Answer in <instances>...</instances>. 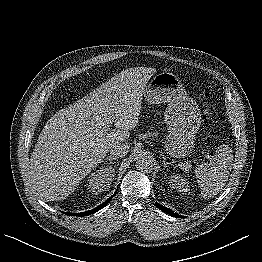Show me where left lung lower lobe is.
<instances>
[{"label":"left lung lower lobe","instance_id":"left-lung-lower-lobe-1","mask_svg":"<svg viewBox=\"0 0 262 262\" xmlns=\"http://www.w3.org/2000/svg\"><path fill=\"white\" fill-rule=\"evenodd\" d=\"M156 206H157L159 209H161L162 211L168 213L169 215H171V216H173V217L183 218V216L175 213L174 211H172V210H170V209H168V208H166V207H163L162 205H160V204H158V203H156Z\"/></svg>","mask_w":262,"mask_h":262}]
</instances>
